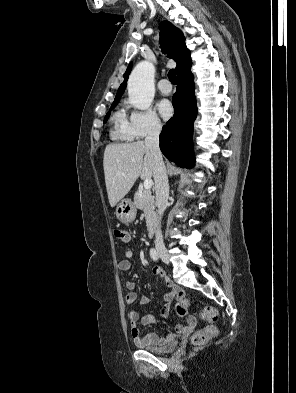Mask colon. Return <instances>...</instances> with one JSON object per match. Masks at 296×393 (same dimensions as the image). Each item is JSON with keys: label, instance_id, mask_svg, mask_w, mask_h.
Returning a JSON list of instances; mask_svg holds the SVG:
<instances>
[{"label": "colon", "instance_id": "obj_1", "mask_svg": "<svg viewBox=\"0 0 296 393\" xmlns=\"http://www.w3.org/2000/svg\"><path fill=\"white\" fill-rule=\"evenodd\" d=\"M114 235L117 239L122 242H128L130 240V234L127 230L123 228H116L114 230ZM189 303L187 300H178L176 305V311L179 315L185 316L188 312ZM201 320L205 322H216L218 319V312L213 306H205L199 313ZM217 333V328L210 325L200 331H197L192 336V344L194 346H204L208 341L214 337Z\"/></svg>", "mask_w": 296, "mask_h": 393}]
</instances>
